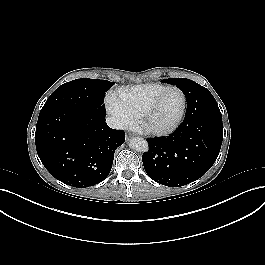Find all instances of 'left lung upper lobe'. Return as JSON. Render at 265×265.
<instances>
[{"label": "left lung upper lobe", "mask_w": 265, "mask_h": 265, "mask_svg": "<svg viewBox=\"0 0 265 265\" xmlns=\"http://www.w3.org/2000/svg\"><path fill=\"white\" fill-rule=\"evenodd\" d=\"M163 82L169 83V84H173L176 85L183 93L184 95H186L188 92L191 91V89L193 88H204L206 93H207V97L210 100V102H215L216 100L215 98L212 96V94L203 86L197 84L196 82L190 80V79H186V78H169V79H164L162 80Z\"/></svg>", "instance_id": "obj_1"}]
</instances>
